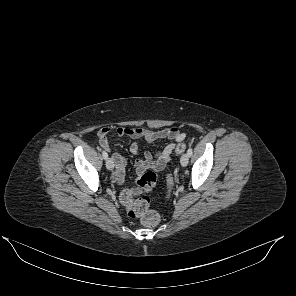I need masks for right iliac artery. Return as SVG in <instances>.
I'll use <instances>...</instances> for the list:
<instances>
[{"instance_id": "82829eb1", "label": "right iliac artery", "mask_w": 296, "mask_h": 296, "mask_svg": "<svg viewBox=\"0 0 296 296\" xmlns=\"http://www.w3.org/2000/svg\"><path fill=\"white\" fill-rule=\"evenodd\" d=\"M102 156H103L104 159H107V158H108V154H107V152H106V151H103V152H102Z\"/></svg>"}]
</instances>
